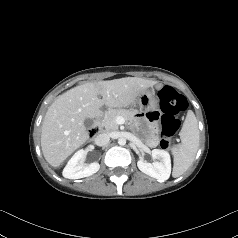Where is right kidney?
Returning a JSON list of instances; mask_svg holds the SVG:
<instances>
[{
    "mask_svg": "<svg viewBox=\"0 0 238 238\" xmlns=\"http://www.w3.org/2000/svg\"><path fill=\"white\" fill-rule=\"evenodd\" d=\"M85 155L86 152L84 150H79L72 156L62 172L65 178L80 179L91 176L99 170L100 165L98 162H93L88 166L82 164Z\"/></svg>",
    "mask_w": 238,
    "mask_h": 238,
    "instance_id": "obj_1",
    "label": "right kidney"
}]
</instances>
